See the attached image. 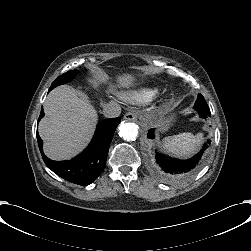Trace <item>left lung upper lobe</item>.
I'll use <instances>...</instances> for the list:
<instances>
[{
	"instance_id": "left-lung-upper-lobe-1",
	"label": "left lung upper lobe",
	"mask_w": 251,
	"mask_h": 251,
	"mask_svg": "<svg viewBox=\"0 0 251 251\" xmlns=\"http://www.w3.org/2000/svg\"><path fill=\"white\" fill-rule=\"evenodd\" d=\"M195 108L202 109V110H209V107L201 94H198L196 103L194 105Z\"/></svg>"
}]
</instances>
